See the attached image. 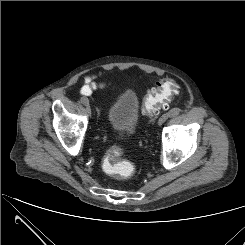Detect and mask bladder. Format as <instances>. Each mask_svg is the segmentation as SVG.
<instances>
[{"instance_id":"bladder-1","label":"bladder","mask_w":245,"mask_h":245,"mask_svg":"<svg viewBox=\"0 0 245 245\" xmlns=\"http://www.w3.org/2000/svg\"><path fill=\"white\" fill-rule=\"evenodd\" d=\"M139 107V98L134 90L126 89L120 92L107 111L110 127L120 135H132L139 124Z\"/></svg>"}]
</instances>
